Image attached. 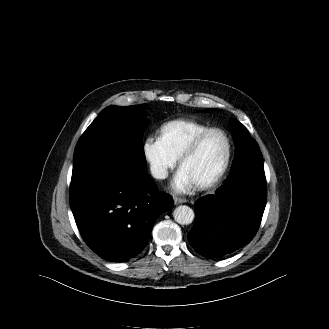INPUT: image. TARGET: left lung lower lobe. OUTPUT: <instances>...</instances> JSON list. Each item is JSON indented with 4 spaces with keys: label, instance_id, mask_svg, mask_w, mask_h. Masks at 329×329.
Here are the masks:
<instances>
[{
    "label": "left lung lower lobe",
    "instance_id": "1",
    "mask_svg": "<svg viewBox=\"0 0 329 329\" xmlns=\"http://www.w3.org/2000/svg\"><path fill=\"white\" fill-rule=\"evenodd\" d=\"M250 166L241 159L234 161L216 195L195 204V222L188 239L202 256L230 254L247 245L258 231L266 205V178L263 164Z\"/></svg>",
    "mask_w": 329,
    "mask_h": 329
}]
</instances>
